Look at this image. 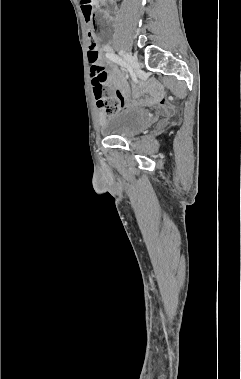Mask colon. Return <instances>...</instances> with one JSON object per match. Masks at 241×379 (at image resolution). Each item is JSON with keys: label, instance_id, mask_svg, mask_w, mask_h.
<instances>
[{"label": "colon", "instance_id": "5ec220e1", "mask_svg": "<svg viewBox=\"0 0 241 379\" xmlns=\"http://www.w3.org/2000/svg\"><path fill=\"white\" fill-rule=\"evenodd\" d=\"M81 8L86 21H92L94 13L91 0H81ZM95 37V30L92 28L88 31V39L90 43L88 58L91 63V70H88L87 75L90 82H93V90L98 106L103 110L105 115H110L118 112L122 108V104L116 95L112 94L104 87L106 72L104 67L97 64L99 49Z\"/></svg>", "mask_w": 241, "mask_h": 379}]
</instances>
